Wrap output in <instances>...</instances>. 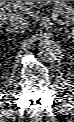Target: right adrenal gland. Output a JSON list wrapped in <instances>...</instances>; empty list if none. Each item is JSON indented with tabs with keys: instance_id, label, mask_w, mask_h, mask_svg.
Wrapping results in <instances>:
<instances>
[{
	"instance_id": "right-adrenal-gland-1",
	"label": "right adrenal gland",
	"mask_w": 74,
	"mask_h": 122,
	"mask_svg": "<svg viewBox=\"0 0 74 122\" xmlns=\"http://www.w3.org/2000/svg\"><path fill=\"white\" fill-rule=\"evenodd\" d=\"M6 31H7V32H10V33H19V31H16L15 29L10 28V27H8V28L6 29Z\"/></svg>"
}]
</instances>
